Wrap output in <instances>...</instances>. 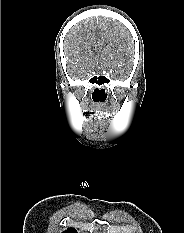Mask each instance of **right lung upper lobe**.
<instances>
[{
    "label": "right lung upper lobe",
    "instance_id": "obj_1",
    "mask_svg": "<svg viewBox=\"0 0 184 233\" xmlns=\"http://www.w3.org/2000/svg\"><path fill=\"white\" fill-rule=\"evenodd\" d=\"M63 233H77V231L74 228H68Z\"/></svg>",
    "mask_w": 184,
    "mask_h": 233
}]
</instances>
